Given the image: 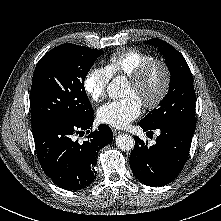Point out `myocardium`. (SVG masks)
<instances>
[{
    "mask_svg": "<svg viewBox=\"0 0 221 221\" xmlns=\"http://www.w3.org/2000/svg\"><path fill=\"white\" fill-rule=\"evenodd\" d=\"M157 66L163 70L164 81H163L162 88H161L160 92L157 94V96L154 99H152L151 101H147V102L142 103L144 108H146L148 110H152V109L157 108L162 103V101L165 99V97L167 96V94L170 90L171 83H172V72H171L169 65L163 60L152 59V60L146 62L145 64H143L142 66H140L135 71V73L131 77H129V82L132 85L140 86L145 81V79L147 78V76L149 75L151 70Z\"/></svg>",
    "mask_w": 221,
    "mask_h": 221,
    "instance_id": "1",
    "label": "myocardium"
}]
</instances>
